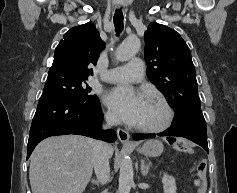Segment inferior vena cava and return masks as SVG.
Segmentation results:
<instances>
[{
    "label": "inferior vena cava",
    "instance_id": "602c4592",
    "mask_svg": "<svg viewBox=\"0 0 237 193\" xmlns=\"http://www.w3.org/2000/svg\"><path fill=\"white\" fill-rule=\"evenodd\" d=\"M106 125H103L104 129L111 128L119 122L118 117L115 114L107 113L105 115ZM109 158H110V146L102 141H95L93 150V166L97 179L105 184L109 180Z\"/></svg>",
    "mask_w": 237,
    "mask_h": 193
}]
</instances>
